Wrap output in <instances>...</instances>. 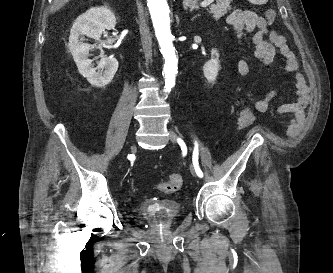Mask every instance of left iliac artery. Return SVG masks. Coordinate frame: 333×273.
<instances>
[{
    "label": "left iliac artery",
    "mask_w": 333,
    "mask_h": 273,
    "mask_svg": "<svg viewBox=\"0 0 333 273\" xmlns=\"http://www.w3.org/2000/svg\"><path fill=\"white\" fill-rule=\"evenodd\" d=\"M177 141H178L179 144H183V141L180 138H178ZM198 155H199L198 144H197V142H195V147H194V151H193V155H192V162H193V166H194V169H195V172H196L197 176L202 178L203 177V172L199 167Z\"/></svg>",
    "instance_id": "44dca946"
}]
</instances>
